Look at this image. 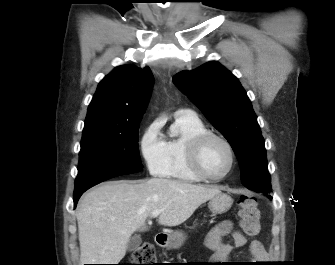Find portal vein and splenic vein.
Masks as SVG:
<instances>
[{"label":"portal vein and splenic vein","instance_id":"obj_1","mask_svg":"<svg viewBox=\"0 0 335 265\" xmlns=\"http://www.w3.org/2000/svg\"><path fill=\"white\" fill-rule=\"evenodd\" d=\"M161 213V210H155L151 213V218H155L157 216H159Z\"/></svg>","mask_w":335,"mask_h":265}]
</instances>
